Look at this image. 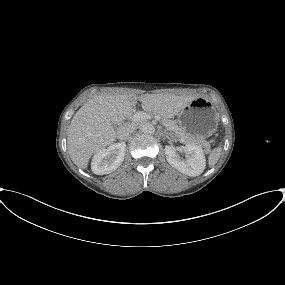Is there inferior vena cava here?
Listing matches in <instances>:
<instances>
[{
  "instance_id": "obj_1",
  "label": "inferior vena cava",
  "mask_w": 285,
  "mask_h": 285,
  "mask_svg": "<svg viewBox=\"0 0 285 285\" xmlns=\"http://www.w3.org/2000/svg\"><path fill=\"white\" fill-rule=\"evenodd\" d=\"M135 130L133 124H124L117 131V138L120 140L127 139Z\"/></svg>"
}]
</instances>
